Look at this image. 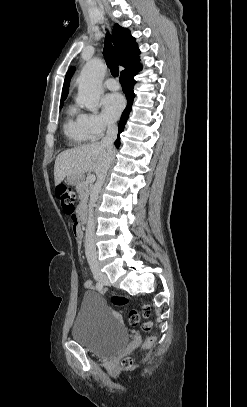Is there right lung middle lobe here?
Segmentation results:
<instances>
[{
	"label": "right lung middle lobe",
	"instance_id": "dd1d6c3e",
	"mask_svg": "<svg viewBox=\"0 0 247 407\" xmlns=\"http://www.w3.org/2000/svg\"><path fill=\"white\" fill-rule=\"evenodd\" d=\"M62 106H63V101H61L60 108H62Z\"/></svg>",
	"mask_w": 247,
	"mask_h": 407
}]
</instances>
